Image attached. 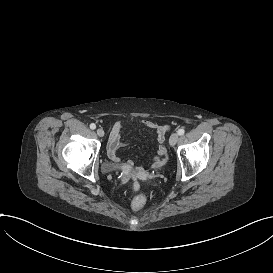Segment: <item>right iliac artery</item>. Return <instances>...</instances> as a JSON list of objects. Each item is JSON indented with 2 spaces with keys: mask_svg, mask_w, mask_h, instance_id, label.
I'll return each instance as SVG.
<instances>
[{
  "mask_svg": "<svg viewBox=\"0 0 273 273\" xmlns=\"http://www.w3.org/2000/svg\"><path fill=\"white\" fill-rule=\"evenodd\" d=\"M90 128L94 130L96 128V125L94 123L90 124Z\"/></svg>",
  "mask_w": 273,
  "mask_h": 273,
  "instance_id": "82829eb1",
  "label": "right iliac artery"
}]
</instances>
